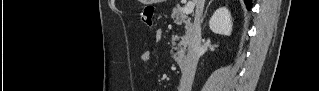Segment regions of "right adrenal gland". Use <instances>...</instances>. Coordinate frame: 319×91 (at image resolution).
Listing matches in <instances>:
<instances>
[{
    "label": "right adrenal gland",
    "instance_id": "obj_1",
    "mask_svg": "<svg viewBox=\"0 0 319 91\" xmlns=\"http://www.w3.org/2000/svg\"><path fill=\"white\" fill-rule=\"evenodd\" d=\"M212 1H213V0H210V1H209L208 5H207V7H206V9H205L204 15L202 16V22H203L204 18L206 17L208 8H209V6H210V4H211Z\"/></svg>",
    "mask_w": 319,
    "mask_h": 91
}]
</instances>
